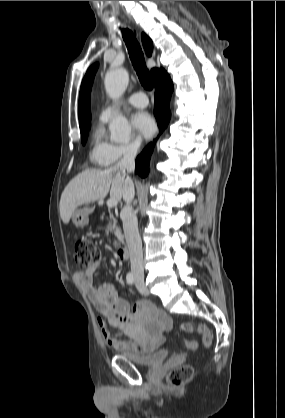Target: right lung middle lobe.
<instances>
[{"mask_svg":"<svg viewBox=\"0 0 285 418\" xmlns=\"http://www.w3.org/2000/svg\"><path fill=\"white\" fill-rule=\"evenodd\" d=\"M90 125L80 128L82 144H85Z\"/></svg>","mask_w":285,"mask_h":418,"instance_id":"1","label":"right lung middle lobe"}]
</instances>
